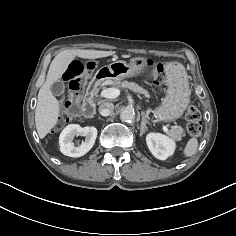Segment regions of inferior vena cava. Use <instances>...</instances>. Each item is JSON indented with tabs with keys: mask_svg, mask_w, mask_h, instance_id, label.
<instances>
[{
	"mask_svg": "<svg viewBox=\"0 0 236 236\" xmlns=\"http://www.w3.org/2000/svg\"><path fill=\"white\" fill-rule=\"evenodd\" d=\"M114 106L111 103H102L99 106V113L102 116H109L113 113Z\"/></svg>",
	"mask_w": 236,
	"mask_h": 236,
	"instance_id": "1",
	"label": "inferior vena cava"
}]
</instances>
